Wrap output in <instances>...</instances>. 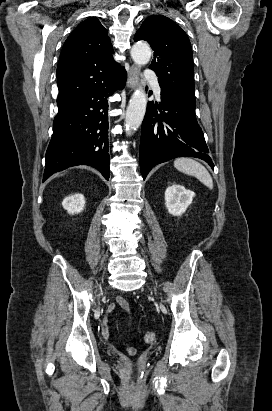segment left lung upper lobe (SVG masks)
I'll return each instance as SVG.
<instances>
[{"mask_svg": "<svg viewBox=\"0 0 272 411\" xmlns=\"http://www.w3.org/2000/svg\"><path fill=\"white\" fill-rule=\"evenodd\" d=\"M134 40H145L154 50L149 68L157 74L161 89L196 104L193 54L186 33L169 18L153 15L143 22Z\"/></svg>", "mask_w": 272, "mask_h": 411, "instance_id": "5c2ea615", "label": "left lung upper lobe"}]
</instances>
